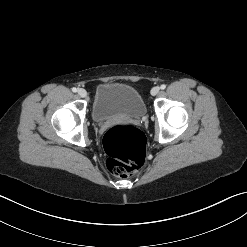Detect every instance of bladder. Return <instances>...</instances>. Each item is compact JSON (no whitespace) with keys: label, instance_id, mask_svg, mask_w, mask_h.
Here are the masks:
<instances>
[{"label":"bladder","instance_id":"1","mask_svg":"<svg viewBox=\"0 0 247 247\" xmlns=\"http://www.w3.org/2000/svg\"><path fill=\"white\" fill-rule=\"evenodd\" d=\"M146 105L140 93L127 84L102 83L97 86L91 108L92 119L102 123L114 118H141Z\"/></svg>","mask_w":247,"mask_h":247}]
</instances>
